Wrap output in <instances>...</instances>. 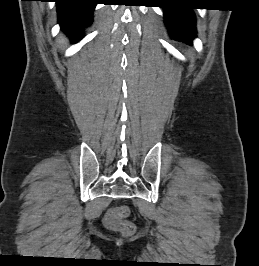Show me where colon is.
Segmentation results:
<instances>
[{"label": "colon", "mask_w": 259, "mask_h": 266, "mask_svg": "<svg viewBox=\"0 0 259 266\" xmlns=\"http://www.w3.org/2000/svg\"><path fill=\"white\" fill-rule=\"evenodd\" d=\"M129 214L127 206L114 207L106 215L105 225L123 236H130L135 232V225L127 219Z\"/></svg>", "instance_id": "colon-1"}]
</instances>
